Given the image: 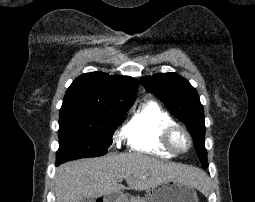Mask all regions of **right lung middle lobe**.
Returning <instances> with one entry per match:
<instances>
[{"mask_svg":"<svg viewBox=\"0 0 255 202\" xmlns=\"http://www.w3.org/2000/svg\"><path fill=\"white\" fill-rule=\"evenodd\" d=\"M129 108L60 116L56 164L106 154L112 135Z\"/></svg>","mask_w":255,"mask_h":202,"instance_id":"obj_1","label":"right lung middle lobe"}]
</instances>
